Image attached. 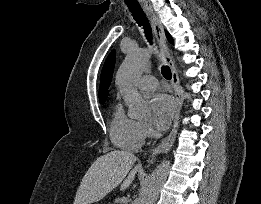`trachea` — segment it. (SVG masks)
<instances>
[{"mask_svg": "<svg viewBox=\"0 0 261 204\" xmlns=\"http://www.w3.org/2000/svg\"><path fill=\"white\" fill-rule=\"evenodd\" d=\"M130 12L132 13V16L134 18V20L138 23L139 26H142L144 29V33L145 36L148 40V42H152V31H151V27L150 24L144 14V12L142 11L140 5H131V4H127ZM161 72L162 75L167 79L170 80L172 77L171 74V70L168 66H162L161 67Z\"/></svg>", "mask_w": 261, "mask_h": 204, "instance_id": "trachea-1", "label": "trachea"}]
</instances>
